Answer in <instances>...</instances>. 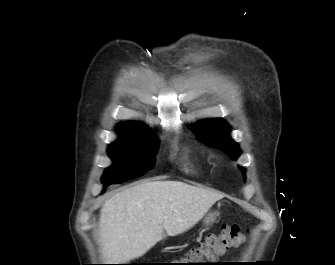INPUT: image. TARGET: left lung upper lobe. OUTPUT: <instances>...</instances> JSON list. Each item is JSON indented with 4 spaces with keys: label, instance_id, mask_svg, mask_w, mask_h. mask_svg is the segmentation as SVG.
Here are the masks:
<instances>
[{
    "label": "left lung upper lobe",
    "instance_id": "1",
    "mask_svg": "<svg viewBox=\"0 0 335 265\" xmlns=\"http://www.w3.org/2000/svg\"><path fill=\"white\" fill-rule=\"evenodd\" d=\"M190 130L195 133L196 138L200 142L222 149L229 154L233 160H236L241 154L238 144L229 137L230 127L223 120L201 121L190 127ZM239 169L245 178V169L242 167H239Z\"/></svg>",
    "mask_w": 335,
    "mask_h": 265
}]
</instances>
